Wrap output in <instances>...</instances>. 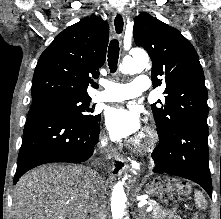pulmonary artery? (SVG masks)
Returning <instances> with one entry per match:
<instances>
[{"instance_id":"e3ab8cb5","label":"pulmonary artery","mask_w":221,"mask_h":219,"mask_svg":"<svg viewBox=\"0 0 221 219\" xmlns=\"http://www.w3.org/2000/svg\"><path fill=\"white\" fill-rule=\"evenodd\" d=\"M149 78L146 75L136 76L132 83L117 84L110 81H102L103 91L97 93L93 100L96 102H116L136 98L149 89Z\"/></svg>"}]
</instances>
